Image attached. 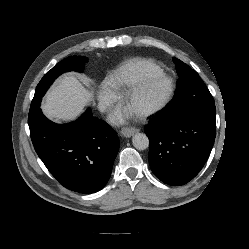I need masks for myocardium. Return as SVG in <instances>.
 Returning <instances> with one entry per match:
<instances>
[{
  "mask_svg": "<svg viewBox=\"0 0 249 249\" xmlns=\"http://www.w3.org/2000/svg\"><path fill=\"white\" fill-rule=\"evenodd\" d=\"M159 82H166L168 84L166 93L158 102L145 108H142L138 111H135V114L138 117L145 118L152 116L163 110L168 105L174 95L175 85L173 80L165 74L155 75L141 81L140 83L132 87V89L126 95L125 103L128 106H131L145 91H147L150 87Z\"/></svg>",
  "mask_w": 249,
  "mask_h": 249,
  "instance_id": "obj_1",
  "label": "myocardium"
}]
</instances>
